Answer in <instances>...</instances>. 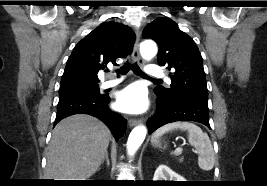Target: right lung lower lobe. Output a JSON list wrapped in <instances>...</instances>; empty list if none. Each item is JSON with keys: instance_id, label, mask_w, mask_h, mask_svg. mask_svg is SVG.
<instances>
[{"instance_id": "1", "label": "right lung lower lobe", "mask_w": 267, "mask_h": 186, "mask_svg": "<svg viewBox=\"0 0 267 186\" xmlns=\"http://www.w3.org/2000/svg\"><path fill=\"white\" fill-rule=\"evenodd\" d=\"M109 102V96L101 94L76 91L60 95L54 125L74 114H89L103 121L118 141L126 131L127 121L109 108Z\"/></svg>"}]
</instances>
